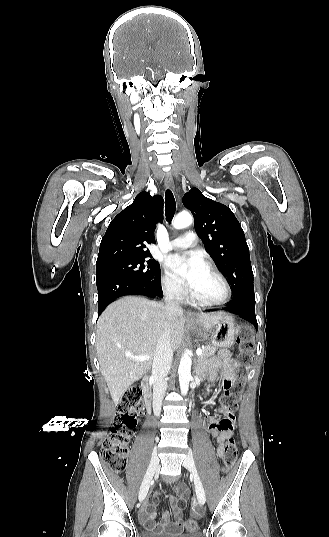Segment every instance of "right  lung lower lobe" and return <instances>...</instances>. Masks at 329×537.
I'll return each instance as SVG.
<instances>
[{"instance_id": "98d812e1", "label": "right lung lower lobe", "mask_w": 329, "mask_h": 537, "mask_svg": "<svg viewBox=\"0 0 329 537\" xmlns=\"http://www.w3.org/2000/svg\"><path fill=\"white\" fill-rule=\"evenodd\" d=\"M98 289V316L105 307L118 297L144 295L151 298L162 297L161 281L152 283L114 274H101L96 279Z\"/></svg>"}]
</instances>
